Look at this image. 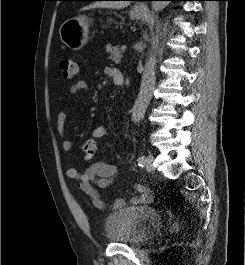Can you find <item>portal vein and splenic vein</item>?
I'll return each instance as SVG.
<instances>
[{"instance_id": "obj_1", "label": "portal vein and splenic vein", "mask_w": 245, "mask_h": 265, "mask_svg": "<svg viewBox=\"0 0 245 265\" xmlns=\"http://www.w3.org/2000/svg\"><path fill=\"white\" fill-rule=\"evenodd\" d=\"M125 50H126V46L123 45V46L121 47V51H125Z\"/></svg>"}]
</instances>
